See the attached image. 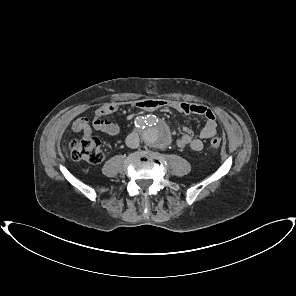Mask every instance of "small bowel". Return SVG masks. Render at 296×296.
I'll use <instances>...</instances> for the list:
<instances>
[{"instance_id":"small-bowel-1","label":"small bowel","mask_w":296,"mask_h":296,"mask_svg":"<svg viewBox=\"0 0 296 296\" xmlns=\"http://www.w3.org/2000/svg\"><path fill=\"white\" fill-rule=\"evenodd\" d=\"M135 106L142 111H154L160 108H171L185 114L201 115L206 122L199 132L198 137H194L191 129L185 128L184 133L176 140L179 148L189 147L193 151H201L204 148V140L213 137L217 132L216 116L214 112L203 105L174 100H157L148 99L138 101ZM118 109V105L113 102L105 103L96 109L92 121L87 118H78L72 124L75 132H83L89 134L92 129L101 131L113 137H118L120 127L105 119V116L114 114Z\"/></svg>"}]
</instances>
